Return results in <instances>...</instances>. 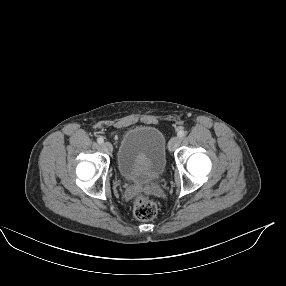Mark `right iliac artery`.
Instances as JSON below:
<instances>
[{"label":"right iliac artery","instance_id":"obj_1","mask_svg":"<svg viewBox=\"0 0 286 286\" xmlns=\"http://www.w3.org/2000/svg\"><path fill=\"white\" fill-rule=\"evenodd\" d=\"M97 142H98L99 144H102V143L104 142V139H103L102 137H99V138L97 139Z\"/></svg>","mask_w":286,"mask_h":286}]
</instances>
